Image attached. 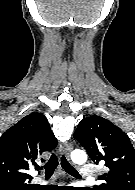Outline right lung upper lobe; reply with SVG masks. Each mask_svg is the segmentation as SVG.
Here are the masks:
<instances>
[{"mask_svg":"<svg viewBox=\"0 0 135 190\" xmlns=\"http://www.w3.org/2000/svg\"><path fill=\"white\" fill-rule=\"evenodd\" d=\"M56 145L43 114L31 113L22 118L0 137V183L27 184L32 179L27 172L34 161Z\"/></svg>","mask_w":135,"mask_h":190,"instance_id":"1","label":"right lung upper lobe"}]
</instances>
